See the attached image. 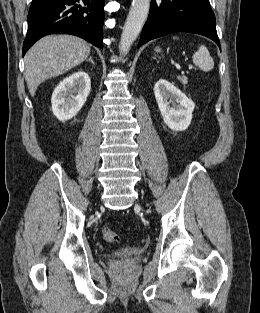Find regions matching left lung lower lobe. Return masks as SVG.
I'll list each match as a JSON object with an SVG mask.
<instances>
[{"label":"left lung lower lobe","instance_id":"left-lung-lower-lobe-1","mask_svg":"<svg viewBox=\"0 0 260 313\" xmlns=\"http://www.w3.org/2000/svg\"><path fill=\"white\" fill-rule=\"evenodd\" d=\"M175 32H191L212 39L220 47L209 0H151L148 20L138 44Z\"/></svg>","mask_w":260,"mask_h":313}]
</instances>
